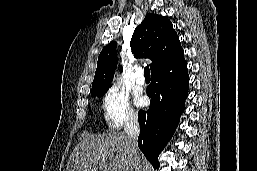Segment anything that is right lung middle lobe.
<instances>
[{
	"mask_svg": "<svg viewBox=\"0 0 257 171\" xmlns=\"http://www.w3.org/2000/svg\"><path fill=\"white\" fill-rule=\"evenodd\" d=\"M107 90L108 89H106V90H102V91H99V92H95V93H91V96L92 97H101V96H103L106 92H107Z\"/></svg>",
	"mask_w": 257,
	"mask_h": 171,
	"instance_id": "dd1d6c3e",
	"label": "right lung middle lobe"
}]
</instances>
